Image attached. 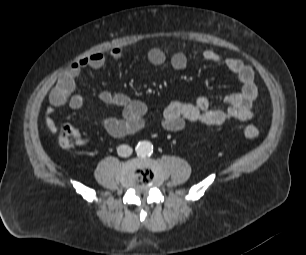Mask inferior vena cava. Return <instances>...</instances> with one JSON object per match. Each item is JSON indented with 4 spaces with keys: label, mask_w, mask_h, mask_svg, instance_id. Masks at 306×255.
Listing matches in <instances>:
<instances>
[{
    "label": "inferior vena cava",
    "mask_w": 306,
    "mask_h": 255,
    "mask_svg": "<svg viewBox=\"0 0 306 255\" xmlns=\"http://www.w3.org/2000/svg\"><path fill=\"white\" fill-rule=\"evenodd\" d=\"M133 150L130 146L128 145H120L117 148V153L121 157H128L132 154Z\"/></svg>",
    "instance_id": "602c4592"
}]
</instances>
